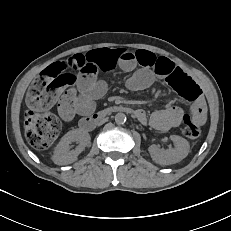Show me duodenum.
<instances>
[{"label": "duodenum", "mask_w": 231, "mask_h": 231, "mask_svg": "<svg viewBox=\"0 0 231 231\" xmlns=\"http://www.w3.org/2000/svg\"><path fill=\"white\" fill-rule=\"evenodd\" d=\"M115 113H126L133 115L136 118L140 115L138 110H135L131 107L125 105H114L84 117L81 119L79 127L83 131H91L97 126L100 119L104 117H110Z\"/></svg>", "instance_id": "duodenum-1"}]
</instances>
